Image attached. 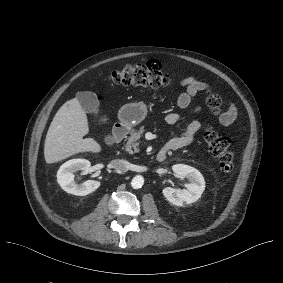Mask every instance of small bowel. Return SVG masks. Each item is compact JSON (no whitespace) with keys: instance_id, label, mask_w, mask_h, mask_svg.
I'll list each match as a JSON object with an SVG mask.
<instances>
[{"instance_id":"c3829d8e","label":"small bowel","mask_w":283,"mask_h":283,"mask_svg":"<svg viewBox=\"0 0 283 283\" xmlns=\"http://www.w3.org/2000/svg\"><path fill=\"white\" fill-rule=\"evenodd\" d=\"M184 91L180 93L176 99V105L180 109H186L191 103V100L197 93L209 89L208 83L198 79L195 76H188L183 78L178 86ZM199 108H194L193 112H199ZM237 117V109L233 103L228 105L227 110L221 114L219 122L222 126L232 125ZM179 114L170 112L165 116V121L169 125H174L179 121ZM201 129L199 121L190 122L183 130L177 133H172L166 148L168 150H176L188 146L194 142V135Z\"/></svg>"}]
</instances>
